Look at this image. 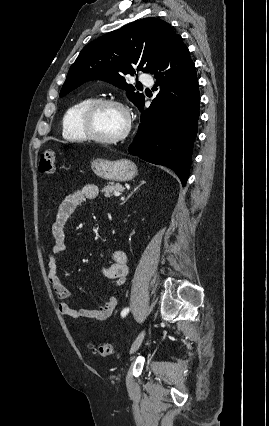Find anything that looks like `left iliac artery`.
<instances>
[{
	"instance_id": "1",
	"label": "left iliac artery",
	"mask_w": 269,
	"mask_h": 426,
	"mask_svg": "<svg viewBox=\"0 0 269 426\" xmlns=\"http://www.w3.org/2000/svg\"><path fill=\"white\" fill-rule=\"evenodd\" d=\"M128 312H129V308H124V309L121 311V316H122V317H125V316L128 314Z\"/></svg>"
}]
</instances>
